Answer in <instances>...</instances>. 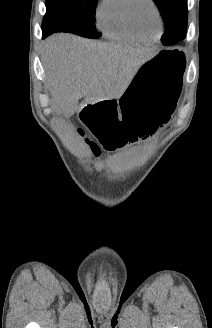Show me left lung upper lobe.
<instances>
[{"label":"left lung upper lobe","instance_id":"1","mask_svg":"<svg viewBox=\"0 0 212 328\" xmlns=\"http://www.w3.org/2000/svg\"><path fill=\"white\" fill-rule=\"evenodd\" d=\"M163 18L166 32L161 37L164 45L179 42L186 37L187 0H153Z\"/></svg>","mask_w":212,"mask_h":328}]
</instances>
